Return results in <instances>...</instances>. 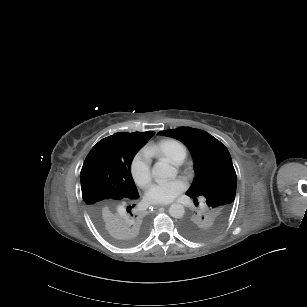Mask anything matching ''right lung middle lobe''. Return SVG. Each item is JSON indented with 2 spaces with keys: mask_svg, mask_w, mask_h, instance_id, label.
Returning <instances> with one entry per match:
<instances>
[{
  "mask_svg": "<svg viewBox=\"0 0 307 307\" xmlns=\"http://www.w3.org/2000/svg\"><path fill=\"white\" fill-rule=\"evenodd\" d=\"M85 204L110 197L118 191L116 179L94 161H85L80 173Z\"/></svg>",
  "mask_w": 307,
  "mask_h": 307,
  "instance_id": "dd1d6c3e",
  "label": "right lung middle lobe"
}]
</instances>
